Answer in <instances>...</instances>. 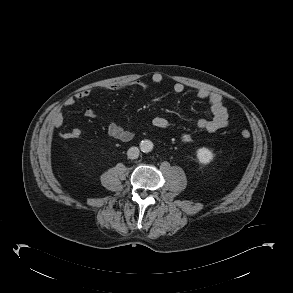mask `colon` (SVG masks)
I'll use <instances>...</instances> for the list:
<instances>
[{
  "label": "colon",
  "instance_id": "colon-1",
  "mask_svg": "<svg viewBox=\"0 0 293 293\" xmlns=\"http://www.w3.org/2000/svg\"><path fill=\"white\" fill-rule=\"evenodd\" d=\"M241 136L244 138V139H248V138H250V136H251V133H250V131L249 130H243L242 132H241Z\"/></svg>",
  "mask_w": 293,
  "mask_h": 293
}]
</instances>
